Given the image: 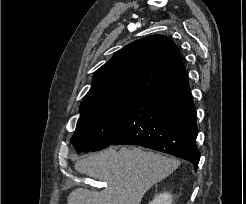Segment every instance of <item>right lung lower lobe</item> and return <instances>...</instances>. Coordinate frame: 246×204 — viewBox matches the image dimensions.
Instances as JSON below:
<instances>
[{"instance_id": "98d812e1", "label": "right lung lower lobe", "mask_w": 246, "mask_h": 204, "mask_svg": "<svg viewBox=\"0 0 246 204\" xmlns=\"http://www.w3.org/2000/svg\"><path fill=\"white\" fill-rule=\"evenodd\" d=\"M198 129L186 73L137 97L110 145H140L185 159H200Z\"/></svg>"}]
</instances>
